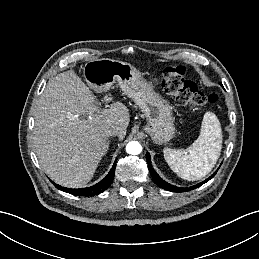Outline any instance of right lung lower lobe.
<instances>
[{
    "label": "right lung lower lobe",
    "mask_w": 259,
    "mask_h": 259,
    "mask_svg": "<svg viewBox=\"0 0 259 259\" xmlns=\"http://www.w3.org/2000/svg\"><path fill=\"white\" fill-rule=\"evenodd\" d=\"M116 160L115 163L113 164L110 172L108 173V175L99 183H97L96 185H93L91 187H87V188H81V189H70V188H65V187H61L58 184H54V186L56 188H58L61 191L67 192L69 194L72 195H76V196H94V195H98L101 192H103L104 190H106L110 184L112 183L113 179H114V174H115V168H116Z\"/></svg>",
    "instance_id": "obj_1"
}]
</instances>
